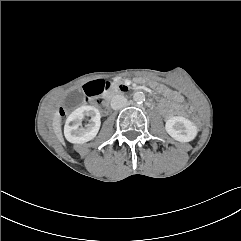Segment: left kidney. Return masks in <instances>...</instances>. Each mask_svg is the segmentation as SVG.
Listing matches in <instances>:
<instances>
[{
  "label": "left kidney",
  "instance_id": "1",
  "mask_svg": "<svg viewBox=\"0 0 241 241\" xmlns=\"http://www.w3.org/2000/svg\"><path fill=\"white\" fill-rule=\"evenodd\" d=\"M165 129L172 138L180 142H190L198 133L196 125L181 116L168 119L165 124Z\"/></svg>",
  "mask_w": 241,
  "mask_h": 241
}]
</instances>
